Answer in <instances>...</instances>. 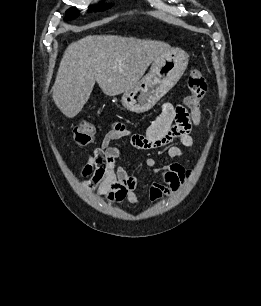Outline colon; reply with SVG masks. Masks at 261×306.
<instances>
[{"label":"colon","instance_id":"colon-1","mask_svg":"<svg viewBox=\"0 0 261 306\" xmlns=\"http://www.w3.org/2000/svg\"><path fill=\"white\" fill-rule=\"evenodd\" d=\"M188 95L184 99L185 106L194 109L199 106L207 90V83L201 70L191 69L187 78ZM94 136V127L88 121H81L74 129L73 140L78 146L89 145ZM91 160L95 167L102 169L105 166L106 156L101 148L95 149Z\"/></svg>","mask_w":261,"mask_h":306}]
</instances>
